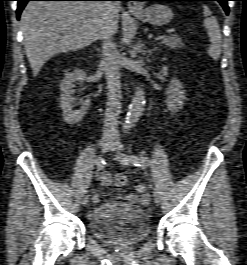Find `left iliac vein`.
Instances as JSON below:
<instances>
[{
  "label": "left iliac vein",
  "instance_id": "1",
  "mask_svg": "<svg viewBox=\"0 0 247 265\" xmlns=\"http://www.w3.org/2000/svg\"><path fill=\"white\" fill-rule=\"evenodd\" d=\"M112 150L115 151L117 154L121 155L122 154L121 152L123 150V145L121 144L120 141L116 140L114 142ZM153 197H154V202L156 204H159L160 203V194H159V192L157 190H154Z\"/></svg>",
  "mask_w": 247,
  "mask_h": 265
}]
</instances>
